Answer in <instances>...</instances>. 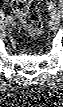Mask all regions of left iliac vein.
Instances as JSON below:
<instances>
[{"label":"left iliac vein","mask_w":63,"mask_h":107,"mask_svg":"<svg viewBox=\"0 0 63 107\" xmlns=\"http://www.w3.org/2000/svg\"><path fill=\"white\" fill-rule=\"evenodd\" d=\"M51 18L54 20V21H58L60 20L61 18V11L57 10V9H53L52 12H51Z\"/></svg>","instance_id":"obj_1"}]
</instances>
